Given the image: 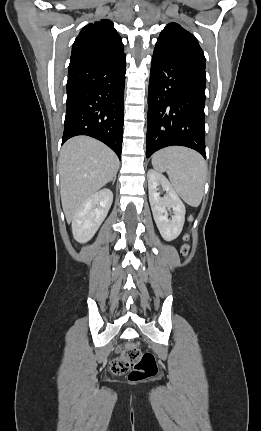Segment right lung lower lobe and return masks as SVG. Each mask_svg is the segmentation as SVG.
Masks as SVG:
<instances>
[{"label":"right lung lower lobe","instance_id":"1","mask_svg":"<svg viewBox=\"0 0 261 431\" xmlns=\"http://www.w3.org/2000/svg\"><path fill=\"white\" fill-rule=\"evenodd\" d=\"M126 56L71 59L62 144L88 135L108 145L121 159Z\"/></svg>","mask_w":261,"mask_h":431}]
</instances>
